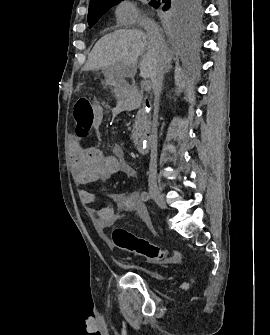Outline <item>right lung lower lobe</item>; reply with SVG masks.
<instances>
[{"mask_svg": "<svg viewBox=\"0 0 270 335\" xmlns=\"http://www.w3.org/2000/svg\"><path fill=\"white\" fill-rule=\"evenodd\" d=\"M162 2H165V5L166 4H168V2H169V0H167V1H165V0H161ZM174 1V0H173ZM172 0L170 1L171 3L173 2ZM164 6V5H163ZM162 9H163V7L162 6H160Z\"/></svg>", "mask_w": 270, "mask_h": 335, "instance_id": "98d812e1", "label": "right lung lower lobe"}]
</instances>
